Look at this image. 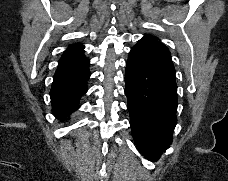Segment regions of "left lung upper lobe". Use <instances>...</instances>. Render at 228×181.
Masks as SVG:
<instances>
[{
  "mask_svg": "<svg viewBox=\"0 0 228 181\" xmlns=\"http://www.w3.org/2000/svg\"><path fill=\"white\" fill-rule=\"evenodd\" d=\"M146 37H152V36H150V35H146Z\"/></svg>",
  "mask_w": 228,
  "mask_h": 181,
  "instance_id": "5c2ea615",
  "label": "left lung upper lobe"
}]
</instances>
